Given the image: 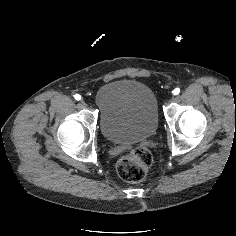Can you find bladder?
I'll use <instances>...</instances> for the list:
<instances>
[{
    "instance_id": "31cf9c89",
    "label": "bladder",
    "mask_w": 236,
    "mask_h": 236,
    "mask_svg": "<svg viewBox=\"0 0 236 236\" xmlns=\"http://www.w3.org/2000/svg\"><path fill=\"white\" fill-rule=\"evenodd\" d=\"M100 128L113 144H131L154 135L159 123L158 101L153 90L135 80H115L95 94Z\"/></svg>"
}]
</instances>
